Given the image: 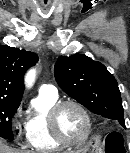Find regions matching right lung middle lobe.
<instances>
[{"mask_svg": "<svg viewBox=\"0 0 130 153\" xmlns=\"http://www.w3.org/2000/svg\"><path fill=\"white\" fill-rule=\"evenodd\" d=\"M19 103L0 100V137L13 140L11 120Z\"/></svg>", "mask_w": 130, "mask_h": 153, "instance_id": "dd1d6c3e", "label": "right lung middle lobe"}]
</instances>
